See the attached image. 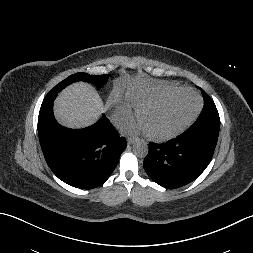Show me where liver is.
Wrapping results in <instances>:
<instances>
[{
  "label": "liver",
  "instance_id": "6515ba94",
  "mask_svg": "<svg viewBox=\"0 0 253 253\" xmlns=\"http://www.w3.org/2000/svg\"><path fill=\"white\" fill-rule=\"evenodd\" d=\"M103 111V101L97 91L83 82L65 88L57 97L54 108L57 120L70 128L93 124Z\"/></svg>",
  "mask_w": 253,
  "mask_h": 253
}]
</instances>
